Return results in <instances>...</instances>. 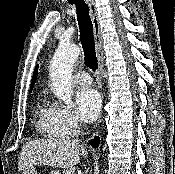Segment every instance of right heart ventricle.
<instances>
[{
	"label": "right heart ventricle",
	"instance_id": "e07e8e85",
	"mask_svg": "<svg viewBox=\"0 0 175 174\" xmlns=\"http://www.w3.org/2000/svg\"><path fill=\"white\" fill-rule=\"evenodd\" d=\"M37 128L39 132L46 137H64L55 124L52 105H49L44 99L40 101L37 107Z\"/></svg>",
	"mask_w": 175,
	"mask_h": 174
}]
</instances>
